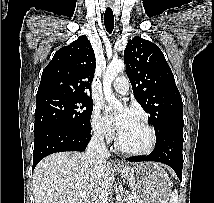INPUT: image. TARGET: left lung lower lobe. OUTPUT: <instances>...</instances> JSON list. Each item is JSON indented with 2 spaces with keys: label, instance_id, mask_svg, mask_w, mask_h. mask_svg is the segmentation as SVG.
Listing matches in <instances>:
<instances>
[{
  "label": "left lung lower lobe",
  "instance_id": "1",
  "mask_svg": "<svg viewBox=\"0 0 214 203\" xmlns=\"http://www.w3.org/2000/svg\"><path fill=\"white\" fill-rule=\"evenodd\" d=\"M183 127H171L156 138L155 148L148 156L130 157L128 161H155L170 166L181 181L183 168Z\"/></svg>",
  "mask_w": 214,
  "mask_h": 203
}]
</instances>
